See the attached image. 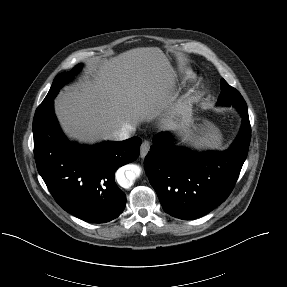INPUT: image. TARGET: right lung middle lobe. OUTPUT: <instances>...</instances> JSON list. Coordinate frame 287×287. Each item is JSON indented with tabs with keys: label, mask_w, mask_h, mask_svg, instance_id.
Segmentation results:
<instances>
[{
	"label": "right lung middle lobe",
	"mask_w": 287,
	"mask_h": 287,
	"mask_svg": "<svg viewBox=\"0 0 287 287\" xmlns=\"http://www.w3.org/2000/svg\"><path fill=\"white\" fill-rule=\"evenodd\" d=\"M81 67H82V64H78L70 72H63L60 75L56 76L47 96L45 97L43 101H47L52 98H55V96L57 95L62 85L66 83L67 81H69L75 74H77L78 71L81 69Z\"/></svg>",
	"instance_id": "obj_1"
}]
</instances>
